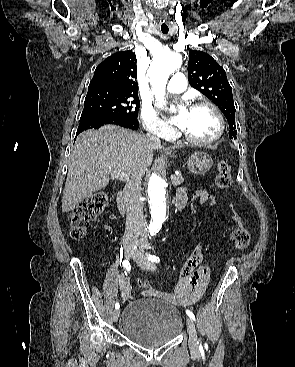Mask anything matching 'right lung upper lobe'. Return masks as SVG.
I'll return each mask as SVG.
<instances>
[{"mask_svg":"<svg viewBox=\"0 0 295 367\" xmlns=\"http://www.w3.org/2000/svg\"><path fill=\"white\" fill-rule=\"evenodd\" d=\"M136 56L131 50L107 57L95 69L88 91L101 90L138 96Z\"/></svg>","mask_w":295,"mask_h":367,"instance_id":"right-lung-upper-lobe-1","label":"right lung upper lobe"}]
</instances>
